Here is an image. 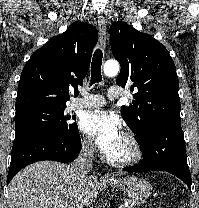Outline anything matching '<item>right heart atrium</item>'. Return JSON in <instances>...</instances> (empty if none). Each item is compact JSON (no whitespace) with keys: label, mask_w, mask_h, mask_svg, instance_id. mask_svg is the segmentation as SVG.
<instances>
[{"label":"right heart atrium","mask_w":199,"mask_h":208,"mask_svg":"<svg viewBox=\"0 0 199 208\" xmlns=\"http://www.w3.org/2000/svg\"><path fill=\"white\" fill-rule=\"evenodd\" d=\"M80 144L85 154L92 155L94 153L95 147L88 138H82Z\"/></svg>","instance_id":"d8ad5b80"}]
</instances>
